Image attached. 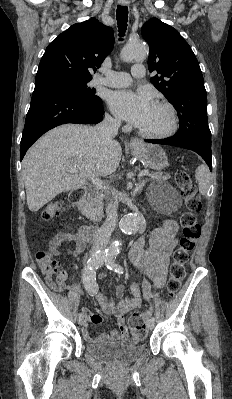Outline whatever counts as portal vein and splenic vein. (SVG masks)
<instances>
[{"mask_svg": "<svg viewBox=\"0 0 232 399\" xmlns=\"http://www.w3.org/2000/svg\"><path fill=\"white\" fill-rule=\"evenodd\" d=\"M69 172H71V174H76L75 170H69ZM146 174H149V170H143V172H140L138 178H142V176H146ZM90 180H92V184H94L95 188H99V190L103 188V184L97 176H91Z\"/></svg>", "mask_w": 232, "mask_h": 399, "instance_id": "1", "label": "portal vein and splenic vein"}]
</instances>
